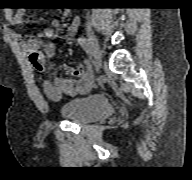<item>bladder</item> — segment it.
<instances>
[{
	"instance_id": "1",
	"label": "bladder",
	"mask_w": 192,
	"mask_h": 180,
	"mask_svg": "<svg viewBox=\"0 0 192 180\" xmlns=\"http://www.w3.org/2000/svg\"><path fill=\"white\" fill-rule=\"evenodd\" d=\"M114 112L109 99L102 94H92L74 99L59 109V114L75 123H89L111 116Z\"/></svg>"
}]
</instances>
